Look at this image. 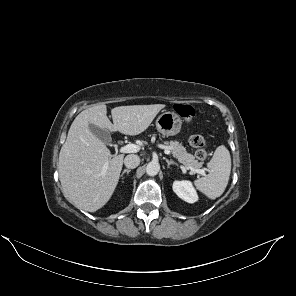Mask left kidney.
Segmentation results:
<instances>
[{
	"label": "left kidney",
	"mask_w": 296,
	"mask_h": 296,
	"mask_svg": "<svg viewBox=\"0 0 296 296\" xmlns=\"http://www.w3.org/2000/svg\"><path fill=\"white\" fill-rule=\"evenodd\" d=\"M172 188L182 200L188 203H195L198 201L197 192L190 181H174Z\"/></svg>",
	"instance_id": "5707ae66"
}]
</instances>
